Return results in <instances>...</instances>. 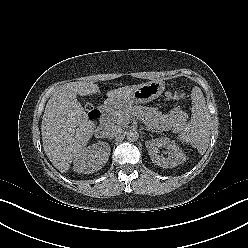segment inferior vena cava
Segmentation results:
<instances>
[{"mask_svg":"<svg viewBox=\"0 0 248 248\" xmlns=\"http://www.w3.org/2000/svg\"><path fill=\"white\" fill-rule=\"evenodd\" d=\"M123 131V128L121 126H117V125H109L108 127H106L104 133L107 137H116L118 135H120Z\"/></svg>","mask_w":248,"mask_h":248,"instance_id":"obj_1","label":"inferior vena cava"}]
</instances>
